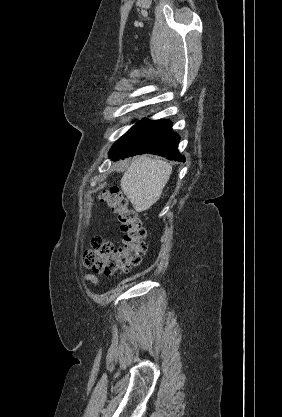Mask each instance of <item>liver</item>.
<instances>
[{
    "mask_svg": "<svg viewBox=\"0 0 282 417\" xmlns=\"http://www.w3.org/2000/svg\"><path fill=\"white\" fill-rule=\"evenodd\" d=\"M172 172L170 162L146 154L137 156L124 172L120 186L137 213L147 211L160 198Z\"/></svg>",
    "mask_w": 282,
    "mask_h": 417,
    "instance_id": "1",
    "label": "liver"
}]
</instances>
